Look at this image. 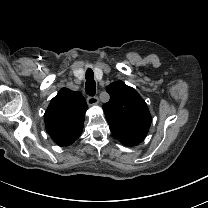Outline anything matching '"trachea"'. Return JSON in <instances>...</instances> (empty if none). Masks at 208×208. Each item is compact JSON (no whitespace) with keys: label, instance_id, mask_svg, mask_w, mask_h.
I'll return each mask as SVG.
<instances>
[{"label":"trachea","instance_id":"obj_1","mask_svg":"<svg viewBox=\"0 0 208 208\" xmlns=\"http://www.w3.org/2000/svg\"><path fill=\"white\" fill-rule=\"evenodd\" d=\"M85 91L88 95L94 96L96 92V83L94 81V72L93 70L88 67L85 74Z\"/></svg>","mask_w":208,"mask_h":208}]
</instances>
